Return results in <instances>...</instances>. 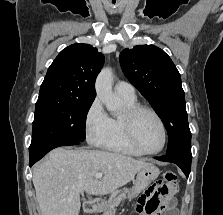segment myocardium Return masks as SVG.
Instances as JSON below:
<instances>
[{"label":"myocardium","mask_w":223,"mask_h":215,"mask_svg":"<svg viewBox=\"0 0 223 215\" xmlns=\"http://www.w3.org/2000/svg\"><path fill=\"white\" fill-rule=\"evenodd\" d=\"M143 113H148L150 114L158 123L160 131H161V143L160 146L154 150V151H141L136 144L135 138H134V127H135V122L137 118L143 114ZM123 124H124V130H125V138L128 143V145L135 151L137 155L140 156H152V155H157L159 154L166 143V129L164 126L163 121L159 117V115L152 110L151 108L143 105H136L134 107L128 108L124 114H123Z\"/></svg>","instance_id":"obj_1"}]
</instances>
